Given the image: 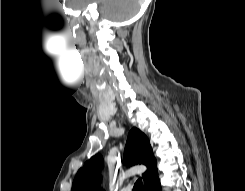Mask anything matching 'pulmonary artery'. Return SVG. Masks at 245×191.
<instances>
[{
    "label": "pulmonary artery",
    "mask_w": 245,
    "mask_h": 191,
    "mask_svg": "<svg viewBox=\"0 0 245 191\" xmlns=\"http://www.w3.org/2000/svg\"><path fill=\"white\" fill-rule=\"evenodd\" d=\"M123 191H131V188L130 187H127Z\"/></svg>",
    "instance_id": "pulmonary-artery-1"
}]
</instances>
